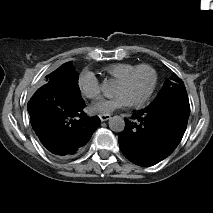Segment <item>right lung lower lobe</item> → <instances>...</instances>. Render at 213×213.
I'll return each instance as SVG.
<instances>
[{"mask_svg":"<svg viewBox=\"0 0 213 213\" xmlns=\"http://www.w3.org/2000/svg\"><path fill=\"white\" fill-rule=\"evenodd\" d=\"M84 100L61 85L47 83L27 104L31 125L53 154L69 156L84 146L100 125L99 117L83 118Z\"/></svg>","mask_w":213,"mask_h":213,"instance_id":"right-lung-lower-lobe-1","label":"right lung lower lobe"}]
</instances>
